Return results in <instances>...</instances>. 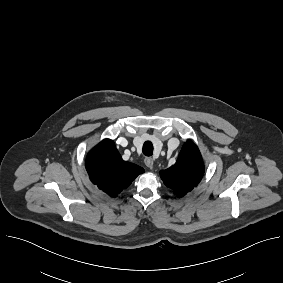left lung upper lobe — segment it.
<instances>
[{
  "label": "left lung upper lobe",
  "mask_w": 283,
  "mask_h": 283,
  "mask_svg": "<svg viewBox=\"0 0 283 283\" xmlns=\"http://www.w3.org/2000/svg\"><path fill=\"white\" fill-rule=\"evenodd\" d=\"M203 174L204 164L200 151L191 140L183 146L176 163L160 172L164 184L177 197H183L196 187Z\"/></svg>",
  "instance_id": "5c2ea615"
}]
</instances>
